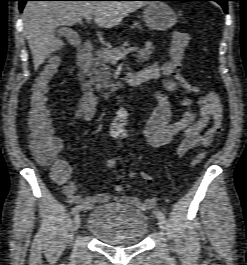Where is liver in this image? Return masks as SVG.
Here are the masks:
<instances>
[{"label": "liver", "instance_id": "6515ba94", "mask_svg": "<svg viewBox=\"0 0 247 265\" xmlns=\"http://www.w3.org/2000/svg\"><path fill=\"white\" fill-rule=\"evenodd\" d=\"M144 5L142 1H28L22 16L23 32L35 70L64 46L54 33L58 26H72L86 16H94L99 27L110 29Z\"/></svg>", "mask_w": 247, "mask_h": 265}]
</instances>
